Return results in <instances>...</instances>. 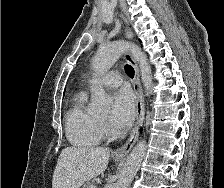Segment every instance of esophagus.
Wrapping results in <instances>:
<instances>
[{
    "label": "esophagus",
    "instance_id": "esophagus-1",
    "mask_svg": "<svg viewBox=\"0 0 224 188\" xmlns=\"http://www.w3.org/2000/svg\"><path fill=\"white\" fill-rule=\"evenodd\" d=\"M126 37L128 40H131L133 37L132 31L129 28L125 29ZM125 59L128 63L132 65L135 72V77L133 81V89L136 93V122L135 125L130 133V136L126 143L115 150L113 153L116 157H125L133 148L134 144L137 141L139 130L142 126L143 117H144V96L143 91L140 83V74H139V68L136 63V60L133 58L130 51H128L125 55Z\"/></svg>",
    "mask_w": 224,
    "mask_h": 188
}]
</instances>
